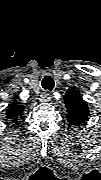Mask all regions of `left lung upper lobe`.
<instances>
[{"label":"left lung upper lobe","mask_w":101,"mask_h":180,"mask_svg":"<svg viewBox=\"0 0 101 180\" xmlns=\"http://www.w3.org/2000/svg\"><path fill=\"white\" fill-rule=\"evenodd\" d=\"M64 103L67 108V120L75 126L84 123L89 116V107L82 99L80 93L75 88L67 91L64 96Z\"/></svg>","instance_id":"5c2ea615"}]
</instances>
